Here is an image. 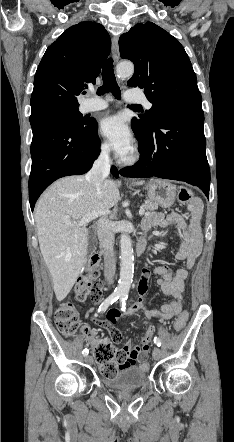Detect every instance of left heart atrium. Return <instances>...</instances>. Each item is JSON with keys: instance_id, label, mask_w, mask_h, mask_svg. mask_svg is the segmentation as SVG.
<instances>
[{"instance_id": "1", "label": "left heart atrium", "mask_w": 234, "mask_h": 442, "mask_svg": "<svg viewBox=\"0 0 234 442\" xmlns=\"http://www.w3.org/2000/svg\"><path fill=\"white\" fill-rule=\"evenodd\" d=\"M100 132L118 156L124 158L132 151V132L123 116L111 115L105 117L101 122Z\"/></svg>"}]
</instances>
